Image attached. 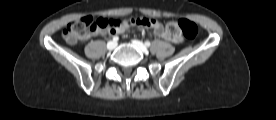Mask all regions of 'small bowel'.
<instances>
[{
	"label": "small bowel",
	"mask_w": 276,
	"mask_h": 120,
	"mask_svg": "<svg viewBox=\"0 0 276 120\" xmlns=\"http://www.w3.org/2000/svg\"><path fill=\"white\" fill-rule=\"evenodd\" d=\"M126 28H127V25L124 24L119 29H117L116 31L111 32V33H123L126 30ZM150 28L152 29L153 33L156 36L161 37L167 41H171L172 43H180L182 41V38L180 37V35L168 34L164 30L162 24L155 19L152 20V24H151ZM90 37H91V35H88L85 37V39H88Z\"/></svg>",
	"instance_id": "small-bowel-1"
}]
</instances>
